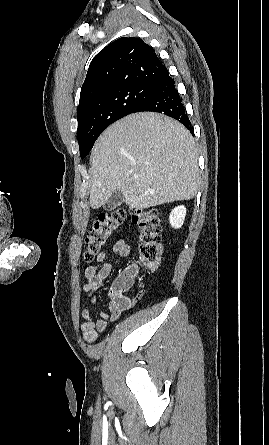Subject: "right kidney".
<instances>
[{
    "label": "right kidney",
    "instance_id": "obj_1",
    "mask_svg": "<svg viewBox=\"0 0 269 445\" xmlns=\"http://www.w3.org/2000/svg\"><path fill=\"white\" fill-rule=\"evenodd\" d=\"M186 216V208L183 205L175 207L169 216L170 224L173 228L178 229L184 223Z\"/></svg>",
    "mask_w": 269,
    "mask_h": 445
}]
</instances>
